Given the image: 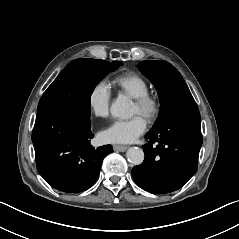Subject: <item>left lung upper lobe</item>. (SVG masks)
<instances>
[{"mask_svg": "<svg viewBox=\"0 0 239 239\" xmlns=\"http://www.w3.org/2000/svg\"><path fill=\"white\" fill-rule=\"evenodd\" d=\"M139 69L155 85L159 94L160 117L154 128L163 124L171 114L179 110L197 107L183 77L170 63L141 61Z\"/></svg>", "mask_w": 239, "mask_h": 239, "instance_id": "obj_1", "label": "left lung upper lobe"}]
</instances>
